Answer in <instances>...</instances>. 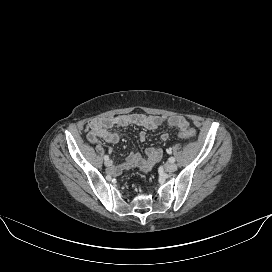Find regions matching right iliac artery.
Segmentation results:
<instances>
[{
	"label": "right iliac artery",
	"instance_id": "right-iliac-artery-1",
	"mask_svg": "<svg viewBox=\"0 0 272 272\" xmlns=\"http://www.w3.org/2000/svg\"><path fill=\"white\" fill-rule=\"evenodd\" d=\"M104 159H105V161H108V160H109V156H108V155H105V156H104Z\"/></svg>",
	"mask_w": 272,
	"mask_h": 272
}]
</instances>
